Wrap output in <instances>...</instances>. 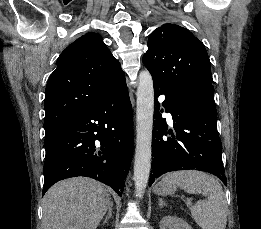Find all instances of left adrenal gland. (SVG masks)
I'll list each match as a JSON object with an SVG mask.
<instances>
[{
  "label": "left adrenal gland",
  "instance_id": "1",
  "mask_svg": "<svg viewBox=\"0 0 261 229\" xmlns=\"http://www.w3.org/2000/svg\"><path fill=\"white\" fill-rule=\"evenodd\" d=\"M159 207H167L166 203H164L163 199H158Z\"/></svg>",
  "mask_w": 261,
  "mask_h": 229
}]
</instances>
